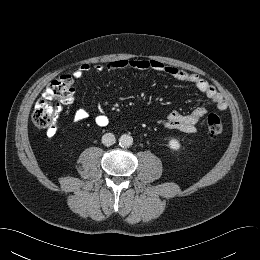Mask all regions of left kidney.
<instances>
[{
  "label": "left kidney",
  "mask_w": 260,
  "mask_h": 260,
  "mask_svg": "<svg viewBox=\"0 0 260 260\" xmlns=\"http://www.w3.org/2000/svg\"><path fill=\"white\" fill-rule=\"evenodd\" d=\"M169 147L172 149V150H179L180 149V147H181V145H180V143H179V141L178 140H176V139H171L170 141H169Z\"/></svg>",
  "instance_id": "obj_1"
}]
</instances>
